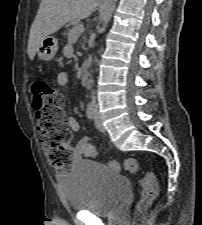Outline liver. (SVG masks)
I'll use <instances>...</instances> for the list:
<instances>
[{"instance_id": "obj_1", "label": "liver", "mask_w": 202, "mask_h": 225, "mask_svg": "<svg viewBox=\"0 0 202 225\" xmlns=\"http://www.w3.org/2000/svg\"><path fill=\"white\" fill-rule=\"evenodd\" d=\"M100 0H42L30 29L28 56L35 57L43 39L66 23L86 19L97 10Z\"/></svg>"}]
</instances>
